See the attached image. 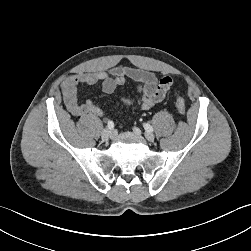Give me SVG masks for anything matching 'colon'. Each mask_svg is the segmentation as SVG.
Wrapping results in <instances>:
<instances>
[{
	"mask_svg": "<svg viewBox=\"0 0 251 251\" xmlns=\"http://www.w3.org/2000/svg\"><path fill=\"white\" fill-rule=\"evenodd\" d=\"M176 108L180 115L186 114V104L185 100L181 96H177L176 98Z\"/></svg>",
	"mask_w": 251,
	"mask_h": 251,
	"instance_id": "colon-1",
	"label": "colon"
}]
</instances>
